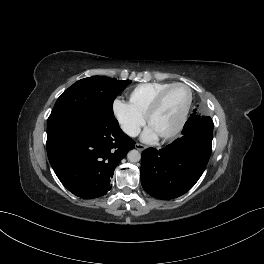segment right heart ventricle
Instances as JSON below:
<instances>
[{"mask_svg":"<svg viewBox=\"0 0 264 264\" xmlns=\"http://www.w3.org/2000/svg\"><path fill=\"white\" fill-rule=\"evenodd\" d=\"M170 83L152 82L135 86L128 93L129 105L144 116L155 96Z\"/></svg>","mask_w":264,"mask_h":264,"instance_id":"e07e8e85","label":"right heart ventricle"}]
</instances>
